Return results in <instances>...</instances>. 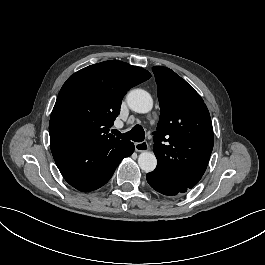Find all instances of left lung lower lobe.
<instances>
[{"label": "left lung lower lobe", "instance_id": "obj_1", "mask_svg": "<svg viewBox=\"0 0 265 265\" xmlns=\"http://www.w3.org/2000/svg\"><path fill=\"white\" fill-rule=\"evenodd\" d=\"M146 178L149 185L155 191L164 195L173 196L185 193L190 189L182 182L159 169H155L153 172L148 173Z\"/></svg>", "mask_w": 265, "mask_h": 265}]
</instances>
